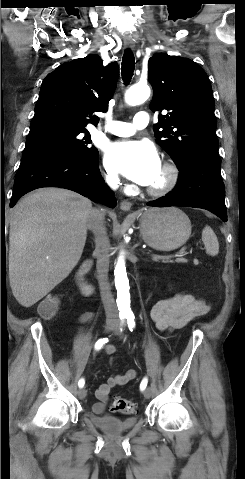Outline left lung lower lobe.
Listing matches in <instances>:
<instances>
[{
    "label": "left lung lower lobe",
    "mask_w": 245,
    "mask_h": 479,
    "mask_svg": "<svg viewBox=\"0 0 245 479\" xmlns=\"http://www.w3.org/2000/svg\"><path fill=\"white\" fill-rule=\"evenodd\" d=\"M178 169L180 174L174 190L147 205L202 208L226 222L225 188L220 173L219 155L215 153L197 155Z\"/></svg>",
    "instance_id": "1"
}]
</instances>
